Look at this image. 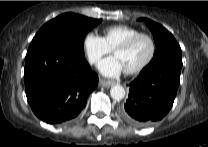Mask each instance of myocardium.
I'll list each match as a JSON object with an SVG mask.
<instances>
[{
  "label": "myocardium",
  "instance_id": "1",
  "mask_svg": "<svg viewBox=\"0 0 208 147\" xmlns=\"http://www.w3.org/2000/svg\"><path fill=\"white\" fill-rule=\"evenodd\" d=\"M141 38H146L150 42V45H151L150 54L147 57V59L145 61H143L137 67L125 70L126 74H129V75L137 74V73L143 71L145 68H147L152 63V61L154 60V58L156 56V52H157V45H156L155 39L153 38L152 35H150L148 33L140 32V33L128 38L127 40H125L124 42H122L121 44H119L118 46H116L113 49L114 53L118 50L129 49Z\"/></svg>",
  "mask_w": 208,
  "mask_h": 147
}]
</instances>
